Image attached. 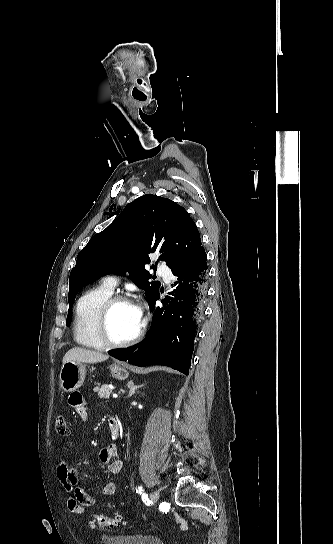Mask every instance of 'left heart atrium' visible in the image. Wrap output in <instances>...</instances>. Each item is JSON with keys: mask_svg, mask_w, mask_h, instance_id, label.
I'll use <instances>...</instances> for the list:
<instances>
[{"mask_svg": "<svg viewBox=\"0 0 333 544\" xmlns=\"http://www.w3.org/2000/svg\"><path fill=\"white\" fill-rule=\"evenodd\" d=\"M134 309H135V313L137 315V318L139 320H141V317H142V310H141V307L139 305H134Z\"/></svg>", "mask_w": 333, "mask_h": 544, "instance_id": "1", "label": "left heart atrium"}]
</instances>
